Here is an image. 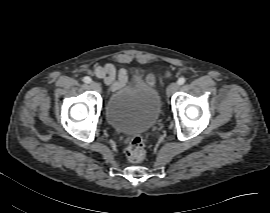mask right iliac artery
<instances>
[{
	"label": "right iliac artery",
	"mask_w": 270,
	"mask_h": 213,
	"mask_svg": "<svg viewBox=\"0 0 270 213\" xmlns=\"http://www.w3.org/2000/svg\"><path fill=\"white\" fill-rule=\"evenodd\" d=\"M84 82H86V83H91L92 80H91L90 77L86 76V77H84Z\"/></svg>",
	"instance_id": "82829eb1"
}]
</instances>
